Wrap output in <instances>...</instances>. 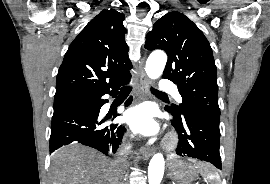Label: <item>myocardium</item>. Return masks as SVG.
Here are the masks:
<instances>
[{"mask_svg":"<svg viewBox=\"0 0 270 184\" xmlns=\"http://www.w3.org/2000/svg\"><path fill=\"white\" fill-rule=\"evenodd\" d=\"M176 142H177L176 137L174 135H171L165 142L164 145L165 149L168 151L173 150L176 146Z\"/></svg>","mask_w":270,"mask_h":184,"instance_id":"f54148a6","label":"myocardium"}]
</instances>
